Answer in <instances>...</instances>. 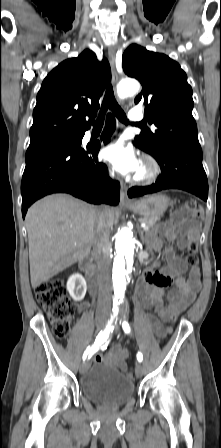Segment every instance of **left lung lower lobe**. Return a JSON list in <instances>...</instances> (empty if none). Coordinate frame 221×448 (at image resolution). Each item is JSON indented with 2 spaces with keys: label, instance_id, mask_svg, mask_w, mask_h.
Returning <instances> with one entry per match:
<instances>
[{
  "label": "left lung lower lobe",
  "instance_id": "0a47b994",
  "mask_svg": "<svg viewBox=\"0 0 221 448\" xmlns=\"http://www.w3.org/2000/svg\"><path fill=\"white\" fill-rule=\"evenodd\" d=\"M152 156L160 165L161 175L151 186L129 189L130 198L177 188L191 192L207 201L208 181L202 165L200 146L170 145Z\"/></svg>",
  "mask_w": 221,
  "mask_h": 448
}]
</instances>
